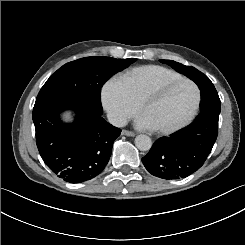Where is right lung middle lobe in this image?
<instances>
[{
	"label": "right lung middle lobe",
	"mask_w": 245,
	"mask_h": 245,
	"mask_svg": "<svg viewBox=\"0 0 245 245\" xmlns=\"http://www.w3.org/2000/svg\"><path fill=\"white\" fill-rule=\"evenodd\" d=\"M136 61L95 56L69 62L53 73L41 88L35 105L51 101H72L102 115L101 87L115 73Z\"/></svg>",
	"instance_id": "right-lung-middle-lobe-1"
}]
</instances>
